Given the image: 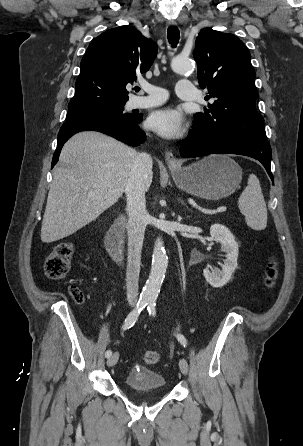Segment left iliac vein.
Here are the masks:
<instances>
[{"instance_id": "left-iliac-vein-1", "label": "left iliac vein", "mask_w": 303, "mask_h": 446, "mask_svg": "<svg viewBox=\"0 0 303 446\" xmlns=\"http://www.w3.org/2000/svg\"><path fill=\"white\" fill-rule=\"evenodd\" d=\"M179 368H180L181 372L184 375H187V373H188V363H187L186 359L181 358L179 360Z\"/></svg>"}]
</instances>
